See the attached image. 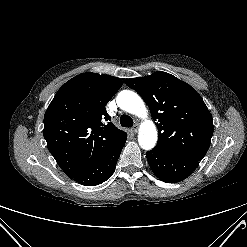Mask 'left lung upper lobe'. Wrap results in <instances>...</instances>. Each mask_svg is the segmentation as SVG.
<instances>
[{"label":"left lung upper lobe","mask_w":247,"mask_h":247,"mask_svg":"<svg viewBox=\"0 0 247 247\" xmlns=\"http://www.w3.org/2000/svg\"><path fill=\"white\" fill-rule=\"evenodd\" d=\"M126 85L140 94L157 121L156 147L184 158L203 159L211 143L213 121L190 85L162 71L128 79Z\"/></svg>","instance_id":"obj_1"}]
</instances>
